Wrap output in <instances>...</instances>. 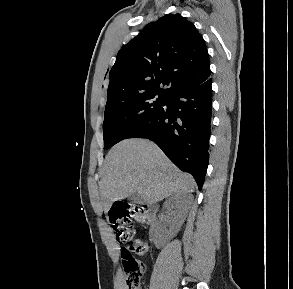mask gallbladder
<instances>
[{
    "mask_svg": "<svg viewBox=\"0 0 293 289\" xmlns=\"http://www.w3.org/2000/svg\"><path fill=\"white\" fill-rule=\"evenodd\" d=\"M129 200L132 202V203H136V204H141L143 203V200L142 198L140 197V195L138 193H133L129 196Z\"/></svg>",
    "mask_w": 293,
    "mask_h": 289,
    "instance_id": "bac80fb5",
    "label": "gallbladder"
}]
</instances>
